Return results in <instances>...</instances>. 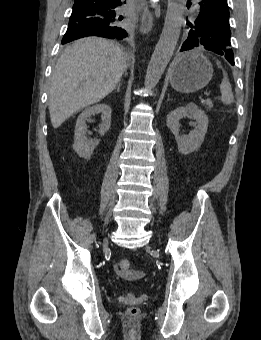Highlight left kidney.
<instances>
[{
	"label": "left kidney",
	"instance_id": "5707ae66",
	"mask_svg": "<svg viewBox=\"0 0 261 340\" xmlns=\"http://www.w3.org/2000/svg\"><path fill=\"white\" fill-rule=\"evenodd\" d=\"M184 117L194 118L197 125L188 135L180 136V120ZM166 121L167 127L175 135L180 153L187 155L200 148L207 132L208 117L196 104L189 103L185 107L176 108L167 115Z\"/></svg>",
	"mask_w": 261,
	"mask_h": 340
}]
</instances>
